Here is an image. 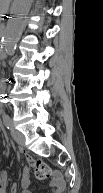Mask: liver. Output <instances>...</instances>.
Instances as JSON below:
<instances>
[{"label": "liver", "instance_id": "obj_1", "mask_svg": "<svg viewBox=\"0 0 103 193\" xmlns=\"http://www.w3.org/2000/svg\"><path fill=\"white\" fill-rule=\"evenodd\" d=\"M11 0H0V11L1 13H5L8 11L9 4Z\"/></svg>", "mask_w": 103, "mask_h": 193}]
</instances>
